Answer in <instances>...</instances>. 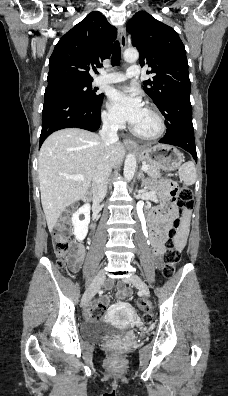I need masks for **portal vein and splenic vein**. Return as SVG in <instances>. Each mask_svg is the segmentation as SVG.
Returning a JSON list of instances; mask_svg holds the SVG:
<instances>
[{"label": "portal vein and splenic vein", "instance_id": "portal-vein-and-splenic-vein-1", "mask_svg": "<svg viewBox=\"0 0 228 396\" xmlns=\"http://www.w3.org/2000/svg\"><path fill=\"white\" fill-rule=\"evenodd\" d=\"M141 169L146 171L148 169V165H145V164L142 165ZM65 177L67 179H72V180H75V181H81V180L85 179V177L83 175H65Z\"/></svg>", "mask_w": 228, "mask_h": 396}]
</instances>
